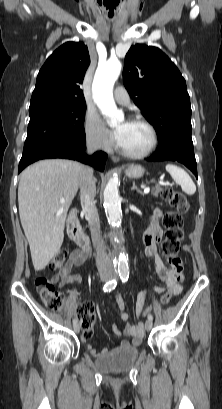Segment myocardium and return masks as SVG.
<instances>
[{"label": "myocardium", "mask_w": 222, "mask_h": 409, "mask_svg": "<svg viewBox=\"0 0 222 409\" xmlns=\"http://www.w3.org/2000/svg\"><path fill=\"white\" fill-rule=\"evenodd\" d=\"M129 121L134 122V123L142 124V125H144V126H146L148 128V130L151 133L150 145L148 146L147 149H145L142 152H130V151H127V150L121 148L119 145L117 146V149L123 156L128 157V158H132V159L145 158V157L149 156L156 149V147L158 145V132H157L155 126L150 121L145 119L144 117L133 116V117L130 118Z\"/></svg>", "instance_id": "1"}]
</instances>
